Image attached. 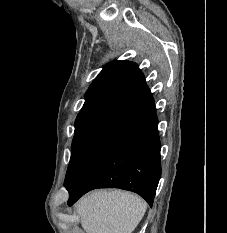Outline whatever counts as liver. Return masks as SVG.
Masks as SVG:
<instances>
[{
  "instance_id": "liver-1",
  "label": "liver",
  "mask_w": 227,
  "mask_h": 233,
  "mask_svg": "<svg viewBox=\"0 0 227 233\" xmlns=\"http://www.w3.org/2000/svg\"><path fill=\"white\" fill-rule=\"evenodd\" d=\"M76 212L86 233H132L146 203L130 192L97 190L77 202Z\"/></svg>"
}]
</instances>
